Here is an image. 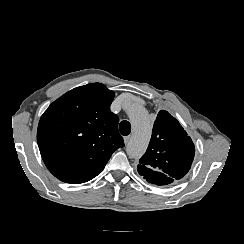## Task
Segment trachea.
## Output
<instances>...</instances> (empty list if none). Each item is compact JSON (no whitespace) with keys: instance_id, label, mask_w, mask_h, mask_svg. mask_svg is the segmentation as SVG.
<instances>
[{"instance_id":"3493384b","label":"trachea","mask_w":244,"mask_h":244,"mask_svg":"<svg viewBox=\"0 0 244 244\" xmlns=\"http://www.w3.org/2000/svg\"><path fill=\"white\" fill-rule=\"evenodd\" d=\"M119 130L122 135H129L131 132V124L127 120H123L119 125Z\"/></svg>"}]
</instances>
